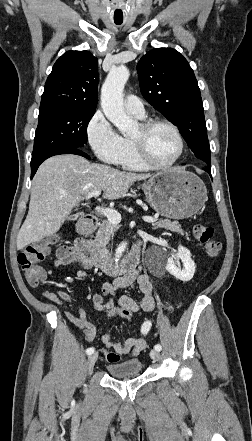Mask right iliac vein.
I'll list each match as a JSON object with an SVG mask.
<instances>
[{
  "instance_id": "63e3f726",
  "label": "right iliac vein",
  "mask_w": 252,
  "mask_h": 441,
  "mask_svg": "<svg viewBox=\"0 0 252 441\" xmlns=\"http://www.w3.org/2000/svg\"><path fill=\"white\" fill-rule=\"evenodd\" d=\"M97 358H98V354L97 353L91 354L88 357V359H87V369H88L89 372H91L93 370V367H94V365H95V363L97 361Z\"/></svg>"
}]
</instances>
